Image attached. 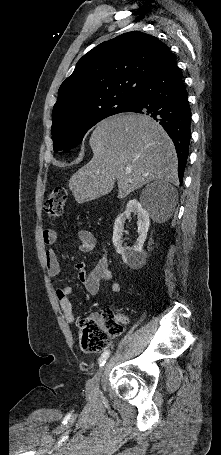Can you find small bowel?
<instances>
[{"mask_svg": "<svg viewBox=\"0 0 221 455\" xmlns=\"http://www.w3.org/2000/svg\"><path fill=\"white\" fill-rule=\"evenodd\" d=\"M43 241L49 246L45 251V263L47 272L50 276L55 277L60 272V266L56 250L52 245L56 241V233L53 229L49 228L43 232ZM68 242L71 244H78V249L81 252H91L94 249L98 250V258L93 270L87 273L83 262H77L75 267L78 271V278L83 283L86 291L95 295L99 292L102 282H106L110 285L111 290L115 293L121 291L120 284L114 280L113 274L108 267L107 250L103 245L97 243L94 235L85 229H80L77 232L76 238H69ZM72 294V288L68 285L59 286L56 289V296L63 312L66 322L73 325L75 322V316L73 313V307L70 296Z\"/></svg>", "mask_w": 221, "mask_h": 455, "instance_id": "small-bowel-1", "label": "small bowel"}]
</instances>
